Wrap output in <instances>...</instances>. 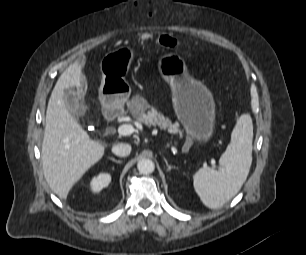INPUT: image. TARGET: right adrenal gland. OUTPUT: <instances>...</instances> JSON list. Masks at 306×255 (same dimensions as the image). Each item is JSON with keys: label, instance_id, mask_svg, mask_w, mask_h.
Wrapping results in <instances>:
<instances>
[{"label": "right adrenal gland", "instance_id": "1", "mask_svg": "<svg viewBox=\"0 0 306 255\" xmlns=\"http://www.w3.org/2000/svg\"><path fill=\"white\" fill-rule=\"evenodd\" d=\"M110 160H112L113 162L118 163V164H120V163H121V161H120V160H116L115 158H110Z\"/></svg>", "mask_w": 306, "mask_h": 255}]
</instances>
